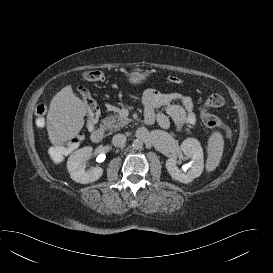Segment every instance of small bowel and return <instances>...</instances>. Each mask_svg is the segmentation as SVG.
Masks as SVG:
<instances>
[{
  "instance_id": "1",
  "label": "small bowel",
  "mask_w": 273,
  "mask_h": 273,
  "mask_svg": "<svg viewBox=\"0 0 273 273\" xmlns=\"http://www.w3.org/2000/svg\"><path fill=\"white\" fill-rule=\"evenodd\" d=\"M175 101H180L181 105ZM145 106V122L156 121L163 129L170 127V120L177 129L181 130L187 125H194L197 121L194 113V102L179 93H161L156 90H147L143 95ZM165 108L167 114L158 113L156 109Z\"/></svg>"
}]
</instances>
